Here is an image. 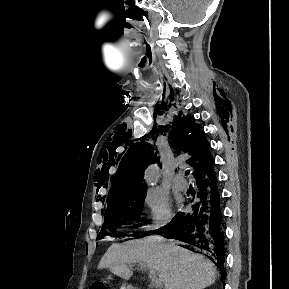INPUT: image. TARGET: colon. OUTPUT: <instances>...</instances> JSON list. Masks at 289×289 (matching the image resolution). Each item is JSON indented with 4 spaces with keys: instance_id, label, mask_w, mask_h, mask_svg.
Returning a JSON list of instances; mask_svg holds the SVG:
<instances>
[{
    "instance_id": "obj_1",
    "label": "colon",
    "mask_w": 289,
    "mask_h": 289,
    "mask_svg": "<svg viewBox=\"0 0 289 289\" xmlns=\"http://www.w3.org/2000/svg\"><path fill=\"white\" fill-rule=\"evenodd\" d=\"M89 289H108V287L104 282L96 281L90 285Z\"/></svg>"
}]
</instances>
